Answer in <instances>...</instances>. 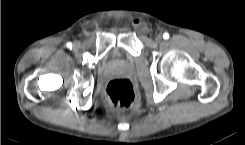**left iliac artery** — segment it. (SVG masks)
Returning a JSON list of instances; mask_svg holds the SVG:
<instances>
[{
    "mask_svg": "<svg viewBox=\"0 0 245 145\" xmlns=\"http://www.w3.org/2000/svg\"><path fill=\"white\" fill-rule=\"evenodd\" d=\"M163 38H164V39H168V38H169V34H168V33H164V34H163Z\"/></svg>",
    "mask_w": 245,
    "mask_h": 145,
    "instance_id": "left-iliac-artery-1",
    "label": "left iliac artery"
}]
</instances>
